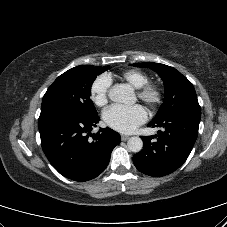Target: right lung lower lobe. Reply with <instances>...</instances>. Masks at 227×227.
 Segmentation results:
<instances>
[{"mask_svg":"<svg viewBox=\"0 0 227 227\" xmlns=\"http://www.w3.org/2000/svg\"><path fill=\"white\" fill-rule=\"evenodd\" d=\"M99 120L98 116L86 118L64 110L40 114L38 128L42 149L51 165L64 177L88 181L107 167L111 152L121 139L119 133L108 127L91 134Z\"/></svg>","mask_w":227,"mask_h":227,"instance_id":"obj_1","label":"right lung lower lobe"}]
</instances>
